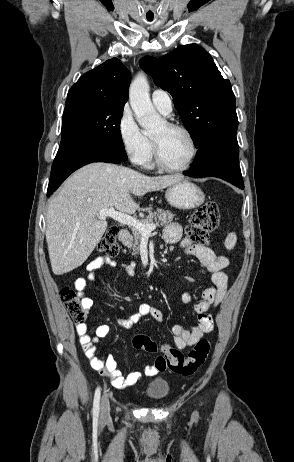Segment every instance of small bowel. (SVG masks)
I'll return each instance as SVG.
<instances>
[{"label": "small bowel", "mask_w": 294, "mask_h": 462, "mask_svg": "<svg viewBox=\"0 0 294 462\" xmlns=\"http://www.w3.org/2000/svg\"><path fill=\"white\" fill-rule=\"evenodd\" d=\"M182 237V228L177 223L169 224L164 232L163 239L167 244L180 242L181 249L184 253L197 257L202 265L211 273L212 285L205 288L202 292L201 300L194 305V311L198 317V324L191 330H187L182 325L172 327L173 340L178 350L186 349L196 344L205 334L213 329V320L209 314L211 307L217 306L224 298L227 290L228 277L225 268L228 266V259L225 256L215 254L207 247H201L193 244L189 238ZM117 263L109 257H97L87 265V276L79 277L75 281V288L78 295L82 297L83 306L88 312L94 302L87 296V285L94 280L99 269L105 266L115 267ZM126 272L134 275V264L123 265ZM182 300L185 303L191 302V295L187 292L182 294ZM150 316L154 320L161 322L163 320L162 312L149 303H141L138 311L128 318L119 319V324L125 328H131L138 324L143 317ZM79 336V343L82 346L85 356L88 358L91 367L103 376H107L111 384L117 389H123L137 383L143 375L154 376L163 371L155 365L145 366L142 370L130 372L124 375L118 368L117 360L109 354L103 358L97 355L96 345L100 339L106 337L110 332L107 324H100L93 335L88 333L86 324H80L76 327Z\"/></svg>", "instance_id": "c3829d8e"}]
</instances>
